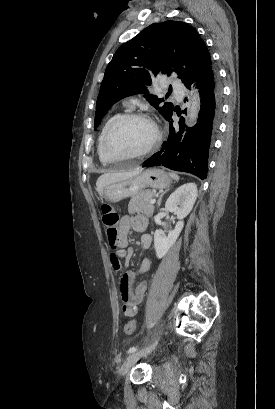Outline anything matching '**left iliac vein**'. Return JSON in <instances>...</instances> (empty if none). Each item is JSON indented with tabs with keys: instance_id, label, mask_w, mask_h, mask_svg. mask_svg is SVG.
<instances>
[{
	"instance_id": "left-iliac-vein-1",
	"label": "left iliac vein",
	"mask_w": 275,
	"mask_h": 409,
	"mask_svg": "<svg viewBox=\"0 0 275 409\" xmlns=\"http://www.w3.org/2000/svg\"><path fill=\"white\" fill-rule=\"evenodd\" d=\"M158 343V337L156 338L155 342L149 346L148 348H146L143 351H138V352H133L132 354H130L125 362L122 364L121 368L119 369V373L121 376H125L129 371L130 368H132L134 366V364L143 356H146L148 354H150L152 351L155 350L156 345Z\"/></svg>"
}]
</instances>
